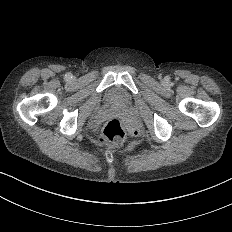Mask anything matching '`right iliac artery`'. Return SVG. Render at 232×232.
Returning a JSON list of instances; mask_svg holds the SVG:
<instances>
[{"instance_id":"1","label":"right iliac artery","mask_w":232,"mask_h":232,"mask_svg":"<svg viewBox=\"0 0 232 232\" xmlns=\"http://www.w3.org/2000/svg\"><path fill=\"white\" fill-rule=\"evenodd\" d=\"M65 77H66L67 79H70V78L72 77V74H71V73H67V74L65 75Z\"/></svg>"}]
</instances>
